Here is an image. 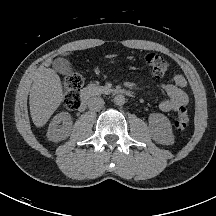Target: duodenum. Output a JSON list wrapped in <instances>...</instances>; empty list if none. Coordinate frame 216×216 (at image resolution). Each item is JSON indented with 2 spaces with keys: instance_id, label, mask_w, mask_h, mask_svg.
Returning <instances> with one entry per match:
<instances>
[{
  "instance_id": "obj_1",
  "label": "duodenum",
  "mask_w": 216,
  "mask_h": 216,
  "mask_svg": "<svg viewBox=\"0 0 216 216\" xmlns=\"http://www.w3.org/2000/svg\"><path fill=\"white\" fill-rule=\"evenodd\" d=\"M109 93L116 96H132L131 91L123 88H113L109 90ZM90 102V94L88 92H84L81 98V103L79 106L80 110H84Z\"/></svg>"
}]
</instances>
